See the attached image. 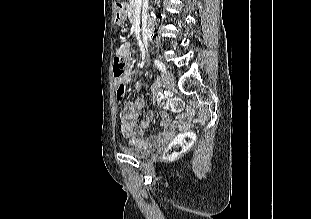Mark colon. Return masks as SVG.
I'll use <instances>...</instances> for the list:
<instances>
[{
    "label": "colon",
    "mask_w": 311,
    "mask_h": 219,
    "mask_svg": "<svg viewBox=\"0 0 311 219\" xmlns=\"http://www.w3.org/2000/svg\"><path fill=\"white\" fill-rule=\"evenodd\" d=\"M127 70V62L124 57L116 56L113 59V73L116 80V98L118 101H122L126 95V83H125V73ZM160 104L167 107L171 111L177 112L182 109V102L179 99H160ZM163 114H167L163 112ZM168 115V114H167ZM196 140V134L194 131L189 130L182 134L181 136L174 139L166 149L167 157H176L181 155L189 146H191Z\"/></svg>",
    "instance_id": "5ec220e1"
}]
</instances>
